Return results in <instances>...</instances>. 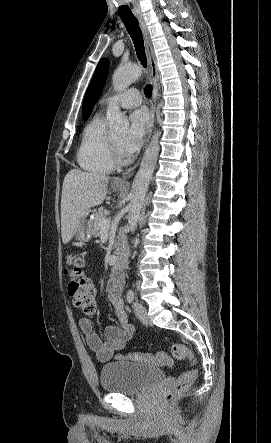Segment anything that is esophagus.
<instances>
[{"label": "esophagus", "mask_w": 271, "mask_h": 443, "mask_svg": "<svg viewBox=\"0 0 271 443\" xmlns=\"http://www.w3.org/2000/svg\"><path fill=\"white\" fill-rule=\"evenodd\" d=\"M139 22V26L141 28L144 43H145V51L146 56L148 60L149 65V80L152 83L153 90H152V98L150 101V121H149V127H148V137H147V143L150 140L152 129L154 126V118H155V109H156V101L158 97V65H157V59L154 53V47L152 40L150 38L149 29L146 25V22L143 18V15H135ZM139 165V161L132 167L129 168L126 172H124L121 177H115L112 182L120 185H129V178H131L136 168Z\"/></svg>", "instance_id": "obj_1"}]
</instances>
